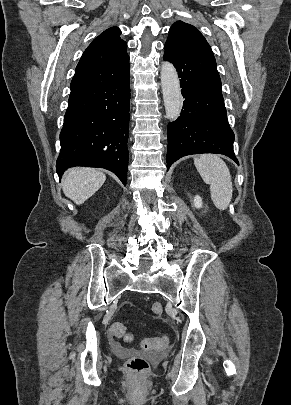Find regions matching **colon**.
<instances>
[{
    "label": "colon",
    "instance_id": "1",
    "mask_svg": "<svg viewBox=\"0 0 291 405\" xmlns=\"http://www.w3.org/2000/svg\"><path fill=\"white\" fill-rule=\"evenodd\" d=\"M152 312L155 315L163 313V306L160 303L152 305ZM110 336L112 338H123L130 341L132 337L127 331V327L123 323H115L110 328ZM168 345V338L166 336H159L143 340L142 347L145 350H162ZM126 369L132 376L144 375L148 368V361L140 356L131 357L126 362Z\"/></svg>",
    "mask_w": 291,
    "mask_h": 405
}]
</instances>
